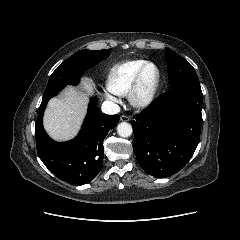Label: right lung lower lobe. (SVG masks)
Instances as JSON below:
<instances>
[{
  "instance_id": "right-lung-lower-lobe-1",
  "label": "right lung lower lobe",
  "mask_w": 240,
  "mask_h": 240,
  "mask_svg": "<svg viewBox=\"0 0 240 240\" xmlns=\"http://www.w3.org/2000/svg\"><path fill=\"white\" fill-rule=\"evenodd\" d=\"M50 98L42 99L35 123L38 155L46 167L60 179L72 185L89 183L102 168L103 140L116 126L120 116L100 113L96 107L97 99L94 97L90 101L78 136L68 142H55L47 135L42 123L43 113Z\"/></svg>"
}]
</instances>
